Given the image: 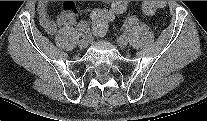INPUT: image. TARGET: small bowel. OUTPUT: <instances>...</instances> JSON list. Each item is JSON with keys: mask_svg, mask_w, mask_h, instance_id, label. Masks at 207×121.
<instances>
[{"mask_svg": "<svg viewBox=\"0 0 207 121\" xmlns=\"http://www.w3.org/2000/svg\"><path fill=\"white\" fill-rule=\"evenodd\" d=\"M48 6V1H40L37 6L40 25L47 34L54 35L59 28L69 27L76 22L77 6L74 1H67L63 12L55 19L50 17Z\"/></svg>", "mask_w": 207, "mask_h": 121, "instance_id": "obj_1", "label": "small bowel"}]
</instances>
